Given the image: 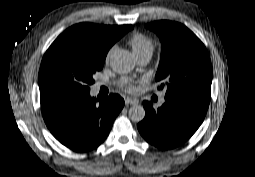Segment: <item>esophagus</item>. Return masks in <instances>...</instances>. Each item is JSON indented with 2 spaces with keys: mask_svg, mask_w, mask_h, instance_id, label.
Wrapping results in <instances>:
<instances>
[{
  "mask_svg": "<svg viewBox=\"0 0 255 177\" xmlns=\"http://www.w3.org/2000/svg\"><path fill=\"white\" fill-rule=\"evenodd\" d=\"M138 103V100L137 99H133V98H130V97H126L125 98V104L127 105V104H131V105H133V104H137Z\"/></svg>",
  "mask_w": 255,
  "mask_h": 177,
  "instance_id": "34e87169",
  "label": "esophagus"
}]
</instances>
